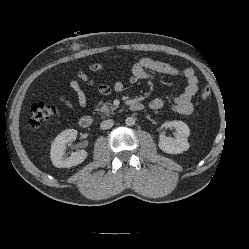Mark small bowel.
I'll list each match as a JSON object with an SVG mask.
<instances>
[{
	"label": "small bowel",
	"instance_id": "c3829d8e",
	"mask_svg": "<svg viewBox=\"0 0 249 249\" xmlns=\"http://www.w3.org/2000/svg\"><path fill=\"white\" fill-rule=\"evenodd\" d=\"M89 69L94 73H102L104 71V66L100 62H95L89 66ZM154 73L169 75L176 79L173 88L169 92L171 108L180 115H190L194 110L192 99L199 88V81L194 69L186 68L181 72L179 69L168 63L145 57L139 59L133 64L129 74V80L131 82H137L138 80H154ZM183 80L186 81L187 85L181 94H177L176 87ZM79 81L96 88V90L104 96H108L112 92H121L124 89L122 81H115L112 85L99 84L84 71L80 70L76 74V79H70L68 84L75 93L77 105L81 108H86L88 106V98ZM58 101L69 109L75 110V105L65 97L59 96ZM163 106L164 101L161 98H153L149 102V107L152 110H159Z\"/></svg>",
	"mask_w": 249,
	"mask_h": 249
}]
</instances>
